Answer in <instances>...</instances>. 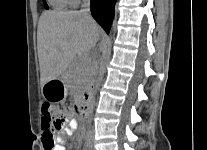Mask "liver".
<instances>
[{
  "mask_svg": "<svg viewBox=\"0 0 207 150\" xmlns=\"http://www.w3.org/2000/svg\"><path fill=\"white\" fill-rule=\"evenodd\" d=\"M100 36L97 23L81 11H46L39 19L37 49L40 81L60 78L76 56H85Z\"/></svg>",
  "mask_w": 207,
  "mask_h": 150,
  "instance_id": "obj_1",
  "label": "liver"
}]
</instances>
